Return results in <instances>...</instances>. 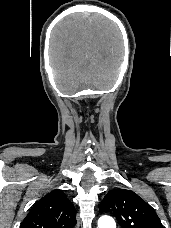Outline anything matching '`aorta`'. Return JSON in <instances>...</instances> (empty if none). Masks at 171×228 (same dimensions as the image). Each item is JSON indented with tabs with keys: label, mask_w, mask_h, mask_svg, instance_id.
<instances>
[{
	"label": "aorta",
	"mask_w": 171,
	"mask_h": 228,
	"mask_svg": "<svg viewBox=\"0 0 171 228\" xmlns=\"http://www.w3.org/2000/svg\"><path fill=\"white\" fill-rule=\"evenodd\" d=\"M98 228H116V223L112 217L102 216L98 221Z\"/></svg>",
	"instance_id": "obj_1"
}]
</instances>
